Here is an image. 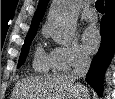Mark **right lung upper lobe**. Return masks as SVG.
<instances>
[{
  "label": "right lung upper lobe",
  "instance_id": "obj_1",
  "mask_svg": "<svg viewBox=\"0 0 115 99\" xmlns=\"http://www.w3.org/2000/svg\"><path fill=\"white\" fill-rule=\"evenodd\" d=\"M48 1L49 0H40L38 8L34 14L33 19H32L30 30H29L27 35L36 34L39 23L44 16ZM114 3H115V0H106L105 6H109V5L114 4Z\"/></svg>",
  "mask_w": 115,
  "mask_h": 99
}]
</instances>
